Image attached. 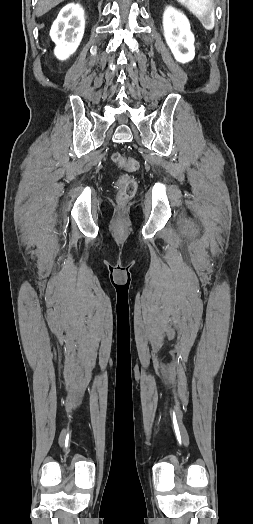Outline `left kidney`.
<instances>
[{
  "mask_svg": "<svg viewBox=\"0 0 253 524\" xmlns=\"http://www.w3.org/2000/svg\"><path fill=\"white\" fill-rule=\"evenodd\" d=\"M164 37L178 62L186 63L195 56L194 35L187 17L172 6L163 14Z\"/></svg>",
  "mask_w": 253,
  "mask_h": 524,
  "instance_id": "1",
  "label": "left kidney"
}]
</instances>
